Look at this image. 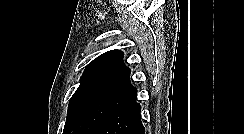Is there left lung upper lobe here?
Wrapping results in <instances>:
<instances>
[{
    "label": "left lung upper lobe",
    "mask_w": 244,
    "mask_h": 134,
    "mask_svg": "<svg viewBox=\"0 0 244 134\" xmlns=\"http://www.w3.org/2000/svg\"><path fill=\"white\" fill-rule=\"evenodd\" d=\"M123 52L111 50L90 62L69 101L63 134H94L114 112L136 98Z\"/></svg>",
    "instance_id": "1"
}]
</instances>
